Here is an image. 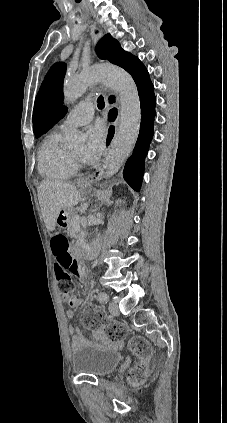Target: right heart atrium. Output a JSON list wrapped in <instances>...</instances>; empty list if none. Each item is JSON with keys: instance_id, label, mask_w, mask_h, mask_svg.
I'll list each match as a JSON object with an SVG mask.
<instances>
[{"instance_id": "right-heart-atrium-1", "label": "right heart atrium", "mask_w": 227, "mask_h": 423, "mask_svg": "<svg viewBox=\"0 0 227 423\" xmlns=\"http://www.w3.org/2000/svg\"><path fill=\"white\" fill-rule=\"evenodd\" d=\"M79 167V165L78 164H75V169H77Z\"/></svg>"}]
</instances>
